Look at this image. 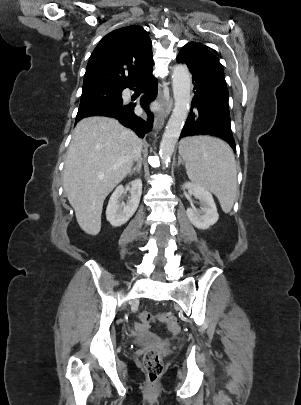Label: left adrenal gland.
<instances>
[{"label":"left adrenal gland","instance_id":"obj_1","mask_svg":"<svg viewBox=\"0 0 301 405\" xmlns=\"http://www.w3.org/2000/svg\"><path fill=\"white\" fill-rule=\"evenodd\" d=\"M182 163L181 157L179 156L178 158V166H180V164Z\"/></svg>","mask_w":301,"mask_h":405}]
</instances>
